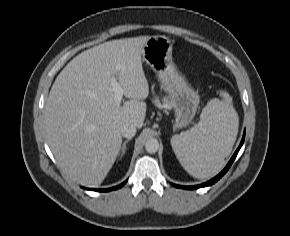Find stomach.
I'll return each instance as SVG.
<instances>
[{"mask_svg":"<svg viewBox=\"0 0 290 236\" xmlns=\"http://www.w3.org/2000/svg\"><path fill=\"white\" fill-rule=\"evenodd\" d=\"M142 58L156 73L161 89L168 95L175 116L173 127H185L193 120L200 97L177 70L170 40L162 35L151 36L144 45Z\"/></svg>","mask_w":290,"mask_h":236,"instance_id":"1","label":"stomach"}]
</instances>
